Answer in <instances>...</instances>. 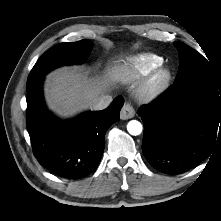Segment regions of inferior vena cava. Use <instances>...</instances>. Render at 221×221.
I'll return each mask as SVG.
<instances>
[{
    "instance_id": "inferior-vena-cava-1",
    "label": "inferior vena cava",
    "mask_w": 221,
    "mask_h": 221,
    "mask_svg": "<svg viewBox=\"0 0 221 221\" xmlns=\"http://www.w3.org/2000/svg\"><path fill=\"white\" fill-rule=\"evenodd\" d=\"M112 100L113 98L110 95H101L93 101L92 108L96 111L103 110L110 105Z\"/></svg>"
}]
</instances>
